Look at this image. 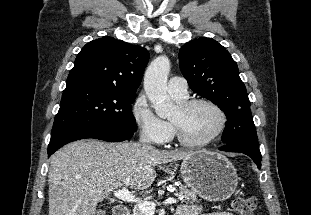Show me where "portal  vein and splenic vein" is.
Segmentation results:
<instances>
[{
  "mask_svg": "<svg viewBox=\"0 0 311 215\" xmlns=\"http://www.w3.org/2000/svg\"><path fill=\"white\" fill-rule=\"evenodd\" d=\"M114 196L124 202L136 203L139 210H141L145 215H154L156 204L150 201H142L133 195L126 187L120 190L114 191ZM164 204H175L177 203L176 198H168Z\"/></svg>",
  "mask_w": 311,
  "mask_h": 215,
  "instance_id": "portal-vein-and-splenic-vein-1",
  "label": "portal vein and splenic vein"
}]
</instances>
